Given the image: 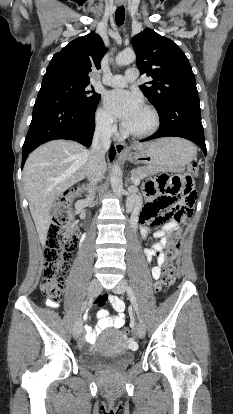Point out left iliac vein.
I'll return each instance as SVG.
<instances>
[{"mask_svg":"<svg viewBox=\"0 0 233 414\" xmlns=\"http://www.w3.org/2000/svg\"><path fill=\"white\" fill-rule=\"evenodd\" d=\"M126 287H127V282L125 280H121L116 285V287L113 289V291L117 294H122V293L125 292ZM145 334H146L145 324L141 319H139V322H138V325H137V335L140 338H144Z\"/></svg>","mask_w":233,"mask_h":414,"instance_id":"left-iliac-vein-1","label":"left iliac vein"}]
</instances>
